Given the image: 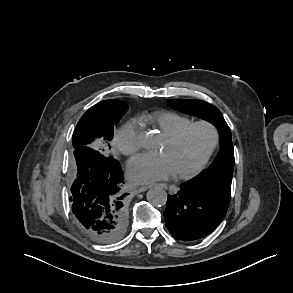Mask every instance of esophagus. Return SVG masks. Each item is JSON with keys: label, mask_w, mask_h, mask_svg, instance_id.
I'll return each mask as SVG.
<instances>
[{"label": "esophagus", "mask_w": 293, "mask_h": 293, "mask_svg": "<svg viewBox=\"0 0 293 293\" xmlns=\"http://www.w3.org/2000/svg\"><path fill=\"white\" fill-rule=\"evenodd\" d=\"M159 187L163 188V189H167L168 186L166 184H158ZM151 186H142V187H139L137 189V192L138 193H141V192H144L146 190H148Z\"/></svg>", "instance_id": "1"}]
</instances>
